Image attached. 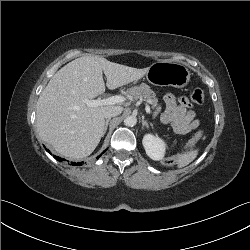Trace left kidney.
Returning a JSON list of instances; mask_svg holds the SVG:
<instances>
[{"mask_svg": "<svg viewBox=\"0 0 250 250\" xmlns=\"http://www.w3.org/2000/svg\"><path fill=\"white\" fill-rule=\"evenodd\" d=\"M143 146L146 154L153 160H162L166 150L165 142L158 136L146 134L143 137Z\"/></svg>", "mask_w": 250, "mask_h": 250, "instance_id": "left-kidney-1", "label": "left kidney"}]
</instances>
